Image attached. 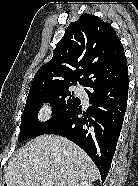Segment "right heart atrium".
<instances>
[{
    "mask_svg": "<svg viewBox=\"0 0 138 186\" xmlns=\"http://www.w3.org/2000/svg\"><path fill=\"white\" fill-rule=\"evenodd\" d=\"M52 114V108L49 104L45 105L40 111L41 119H48Z\"/></svg>",
    "mask_w": 138,
    "mask_h": 186,
    "instance_id": "1",
    "label": "right heart atrium"
}]
</instances>
